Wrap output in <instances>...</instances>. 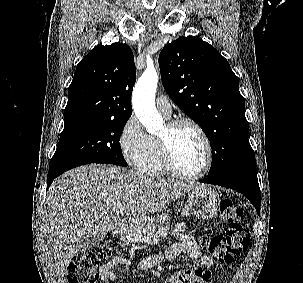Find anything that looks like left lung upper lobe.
Here are the masks:
<instances>
[{"mask_svg":"<svg viewBox=\"0 0 303 283\" xmlns=\"http://www.w3.org/2000/svg\"><path fill=\"white\" fill-rule=\"evenodd\" d=\"M159 66L171 99L201 127L211 143L208 177L254 166L244 98L227 60L209 43L190 36L167 44L159 55Z\"/></svg>","mask_w":303,"mask_h":283,"instance_id":"obj_1","label":"left lung upper lobe"}]
</instances>
